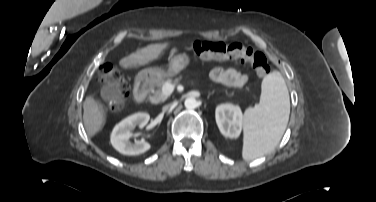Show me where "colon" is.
I'll return each mask as SVG.
<instances>
[{"instance_id": "colon-1", "label": "colon", "mask_w": 376, "mask_h": 202, "mask_svg": "<svg viewBox=\"0 0 376 202\" xmlns=\"http://www.w3.org/2000/svg\"><path fill=\"white\" fill-rule=\"evenodd\" d=\"M191 50L193 55L201 60L239 59L250 63L259 77H265L270 73V66L265 55L254 51L251 47L244 45L240 41L230 43L221 41H195L191 46ZM100 80L113 83L120 92V98L107 103L104 108L106 110L119 109L124 100L129 96V86L121 71L112 64H104L100 70Z\"/></svg>"}]
</instances>
